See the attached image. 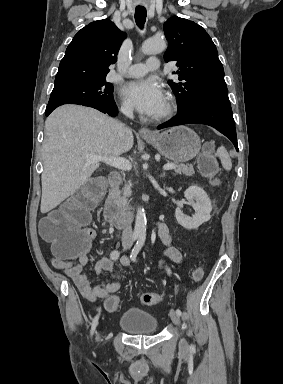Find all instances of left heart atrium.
<instances>
[{
  "instance_id": "obj_1",
  "label": "left heart atrium",
  "mask_w": 283,
  "mask_h": 384,
  "mask_svg": "<svg viewBox=\"0 0 283 384\" xmlns=\"http://www.w3.org/2000/svg\"><path fill=\"white\" fill-rule=\"evenodd\" d=\"M123 94L130 104L144 115H156L165 103L163 91L152 80L129 82L124 87Z\"/></svg>"
}]
</instances>
